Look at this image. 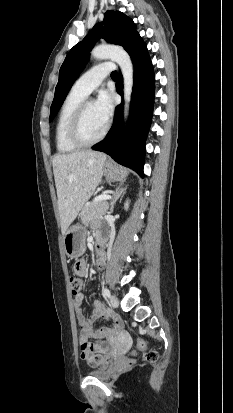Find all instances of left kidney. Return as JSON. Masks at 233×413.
Returning <instances> with one entry per match:
<instances>
[{"label": "left kidney", "instance_id": "5707ae66", "mask_svg": "<svg viewBox=\"0 0 233 413\" xmlns=\"http://www.w3.org/2000/svg\"><path fill=\"white\" fill-rule=\"evenodd\" d=\"M128 207H129V202H128V201H126V203L124 204V208H125V210H127V209H128Z\"/></svg>", "mask_w": 233, "mask_h": 413}]
</instances>
